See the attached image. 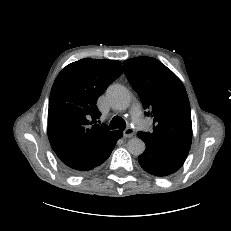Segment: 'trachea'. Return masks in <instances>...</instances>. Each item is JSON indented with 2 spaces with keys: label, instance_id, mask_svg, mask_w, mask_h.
I'll use <instances>...</instances> for the list:
<instances>
[{
  "label": "trachea",
  "instance_id": "trachea-1",
  "mask_svg": "<svg viewBox=\"0 0 231 231\" xmlns=\"http://www.w3.org/2000/svg\"><path fill=\"white\" fill-rule=\"evenodd\" d=\"M110 128L111 129H117L118 128L120 130H124L126 128V123L122 118L115 116V117H113V119L110 122Z\"/></svg>",
  "mask_w": 231,
  "mask_h": 231
}]
</instances>
